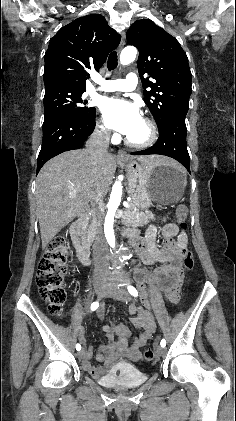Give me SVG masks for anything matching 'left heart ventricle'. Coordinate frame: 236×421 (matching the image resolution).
Wrapping results in <instances>:
<instances>
[{
  "instance_id": "obj_1",
  "label": "left heart ventricle",
  "mask_w": 236,
  "mask_h": 421,
  "mask_svg": "<svg viewBox=\"0 0 236 421\" xmlns=\"http://www.w3.org/2000/svg\"><path fill=\"white\" fill-rule=\"evenodd\" d=\"M148 134V127L142 120L136 129L130 135H128V137L133 141H144L147 139Z\"/></svg>"
}]
</instances>
